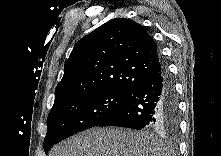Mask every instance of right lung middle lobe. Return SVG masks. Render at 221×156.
Here are the masks:
<instances>
[{"label":"right lung middle lobe","mask_w":221,"mask_h":156,"mask_svg":"<svg viewBox=\"0 0 221 156\" xmlns=\"http://www.w3.org/2000/svg\"><path fill=\"white\" fill-rule=\"evenodd\" d=\"M129 97L130 94L126 93L102 91L53 105L47 119V134L43 143L45 153L63 139L97 126Z\"/></svg>","instance_id":"1"}]
</instances>
